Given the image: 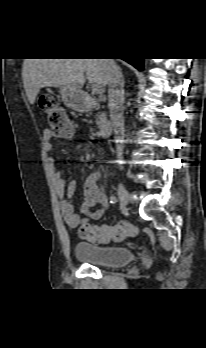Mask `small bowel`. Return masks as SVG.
Listing matches in <instances>:
<instances>
[{"label": "small bowel", "instance_id": "c3829d8e", "mask_svg": "<svg viewBox=\"0 0 206 348\" xmlns=\"http://www.w3.org/2000/svg\"><path fill=\"white\" fill-rule=\"evenodd\" d=\"M42 138L43 148L47 154L54 187L57 194L61 197L60 210L66 224L70 228L80 229L91 220L100 219L110 208V203L99 182L98 174L92 173L86 178L83 184V200L78 210H76L75 200L78 185L76 182H70L66 185L63 175L55 169L54 159L50 155L53 145L51 143V134L48 130L43 132ZM79 148H81V146H79ZM81 215H83V217H81Z\"/></svg>", "mask_w": 206, "mask_h": 348}]
</instances>
